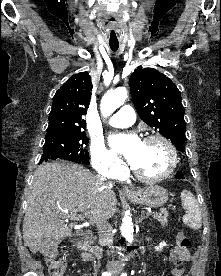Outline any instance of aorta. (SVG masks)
<instances>
[{
  "mask_svg": "<svg viewBox=\"0 0 221 276\" xmlns=\"http://www.w3.org/2000/svg\"><path fill=\"white\" fill-rule=\"evenodd\" d=\"M127 99V91L125 88H118L109 91L104 95L101 100L100 109L103 116L111 115L116 109L124 104ZM121 232L126 241L132 242L133 240V225L132 220L125 217L122 221Z\"/></svg>",
  "mask_w": 221,
  "mask_h": 276,
  "instance_id": "762f6f07",
  "label": "aorta"
}]
</instances>
